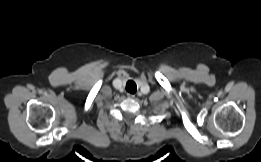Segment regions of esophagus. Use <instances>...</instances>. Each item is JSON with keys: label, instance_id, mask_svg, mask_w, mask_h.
<instances>
[{"label": "esophagus", "instance_id": "34e87169", "mask_svg": "<svg viewBox=\"0 0 261 162\" xmlns=\"http://www.w3.org/2000/svg\"><path fill=\"white\" fill-rule=\"evenodd\" d=\"M127 96H128V98H135V95H133V94H128Z\"/></svg>", "mask_w": 261, "mask_h": 162}]
</instances>
